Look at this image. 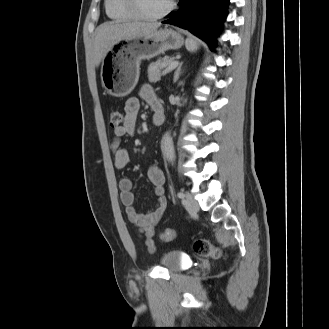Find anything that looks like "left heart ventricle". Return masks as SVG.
<instances>
[{
  "label": "left heart ventricle",
  "instance_id": "left-heart-ventricle-1",
  "mask_svg": "<svg viewBox=\"0 0 329 329\" xmlns=\"http://www.w3.org/2000/svg\"><path fill=\"white\" fill-rule=\"evenodd\" d=\"M142 12L146 15H156L161 13L170 0H138Z\"/></svg>",
  "mask_w": 329,
  "mask_h": 329
}]
</instances>
